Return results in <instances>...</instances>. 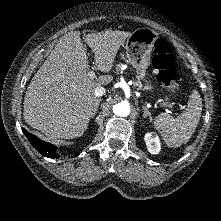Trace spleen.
Listing matches in <instances>:
<instances>
[{
	"mask_svg": "<svg viewBox=\"0 0 221 221\" xmlns=\"http://www.w3.org/2000/svg\"><path fill=\"white\" fill-rule=\"evenodd\" d=\"M201 113L202 99L198 91L193 90L183 113L177 117L161 113L154 119V126L167 146L179 147L183 143H187L195 132Z\"/></svg>",
	"mask_w": 221,
	"mask_h": 221,
	"instance_id": "3e777b00",
	"label": "spleen"
}]
</instances>
